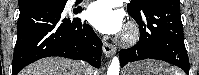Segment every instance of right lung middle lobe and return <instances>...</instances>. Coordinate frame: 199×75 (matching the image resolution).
Wrapping results in <instances>:
<instances>
[{
  "instance_id": "1",
  "label": "right lung middle lobe",
  "mask_w": 199,
  "mask_h": 75,
  "mask_svg": "<svg viewBox=\"0 0 199 75\" xmlns=\"http://www.w3.org/2000/svg\"><path fill=\"white\" fill-rule=\"evenodd\" d=\"M64 0H22L18 1L19 6L24 4V3H40V2H51V3H57V2H62Z\"/></svg>"
}]
</instances>
